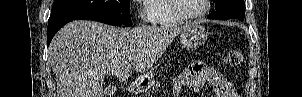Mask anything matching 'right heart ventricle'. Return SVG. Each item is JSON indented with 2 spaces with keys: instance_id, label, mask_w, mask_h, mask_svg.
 <instances>
[{
  "instance_id": "e07e8e85",
  "label": "right heart ventricle",
  "mask_w": 302,
  "mask_h": 97,
  "mask_svg": "<svg viewBox=\"0 0 302 97\" xmlns=\"http://www.w3.org/2000/svg\"><path fill=\"white\" fill-rule=\"evenodd\" d=\"M171 0H148L146 12L150 22L159 27L180 24V20L171 9Z\"/></svg>"
}]
</instances>
